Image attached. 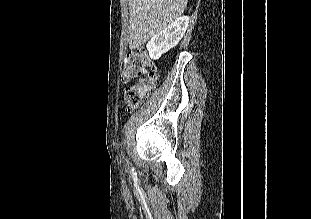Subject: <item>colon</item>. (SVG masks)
I'll return each instance as SVG.
<instances>
[{
  "label": "colon",
  "mask_w": 311,
  "mask_h": 219,
  "mask_svg": "<svg viewBox=\"0 0 311 219\" xmlns=\"http://www.w3.org/2000/svg\"><path fill=\"white\" fill-rule=\"evenodd\" d=\"M136 78H139L138 82L127 86L124 91L127 107L130 109L138 107L143 102L158 80V71L151 62L147 50L143 47L130 52L122 66L124 82Z\"/></svg>",
  "instance_id": "obj_1"
}]
</instances>
